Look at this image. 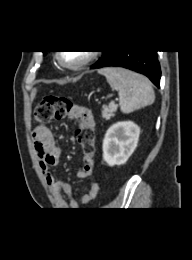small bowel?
<instances>
[{
	"mask_svg": "<svg viewBox=\"0 0 192 260\" xmlns=\"http://www.w3.org/2000/svg\"><path fill=\"white\" fill-rule=\"evenodd\" d=\"M71 119L78 120L77 117H72ZM90 123L93 127L95 126L91 112ZM32 139L39 159L40 169L56 201L57 206L59 208L72 210L77 209L79 207V203L73 197L71 185L57 178L52 172V168L59 163L61 157V150L57 145V141L53 132L47 126L39 125L33 129ZM93 169V159L84 158L83 167L78 171L77 177L80 179H86L92 175ZM98 191L99 184L97 182L91 183L88 191L82 195L81 203L83 205H88L96 198Z\"/></svg>",
	"mask_w": 192,
	"mask_h": 260,
	"instance_id": "obj_1",
	"label": "small bowel"
}]
</instances>
